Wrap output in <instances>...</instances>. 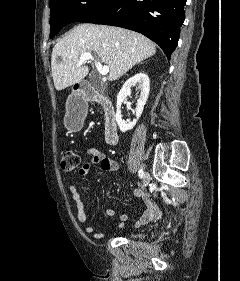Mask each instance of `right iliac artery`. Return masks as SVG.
<instances>
[{
	"instance_id": "obj_1",
	"label": "right iliac artery",
	"mask_w": 240,
	"mask_h": 281,
	"mask_svg": "<svg viewBox=\"0 0 240 281\" xmlns=\"http://www.w3.org/2000/svg\"><path fill=\"white\" fill-rule=\"evenodd\" d=\"M138 174H139V177H140V178H143L144 172H143L142 169H140V170L138 171Z\"/></svg>"
}]
</instances>
